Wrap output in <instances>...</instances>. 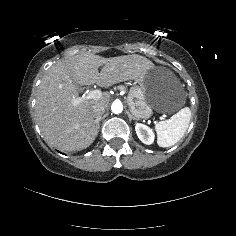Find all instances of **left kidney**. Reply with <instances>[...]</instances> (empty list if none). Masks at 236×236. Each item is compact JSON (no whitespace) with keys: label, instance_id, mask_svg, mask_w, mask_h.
I'll use <instances>...</instances> for the list:
<instances>
[{"label":"left kidney","instance_id":"obj_1","mask_svg":"<svg viewBox=\"0 0 236 236\" xmlns=\"http://www.w3.org/2000/svg\"><path fill=\"white\" fill-rule=\"evenodd\" d=\"M135 130L139 139L146 145H152L155 141L156 135L150 126L144 123H136Z\"/></svg>","mask_w":236,"mask_h":236}]
</instances>
